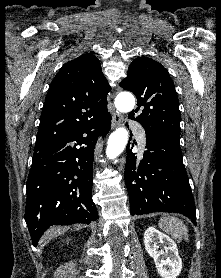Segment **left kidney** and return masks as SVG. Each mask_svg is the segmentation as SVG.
<instances>
[{
    "mask_svg": "<svg viewBox=\"0 0 221 278\" xmlns=\"http://www.w3.org/2000/svg\"><path fill=\"white\" fill-rule=\"evenodd\" d=\"M159 244L164 245L163 250H159ZM144 245L162 278H176L180 274L182 260L176 243L168 235L149 227L144 233Z\"/></svg>",
    "mask_w": 221,
    "mask_h": 278,
    "instance_id": "obj_1",
    "label": "left kidney"
}]
</instances>
